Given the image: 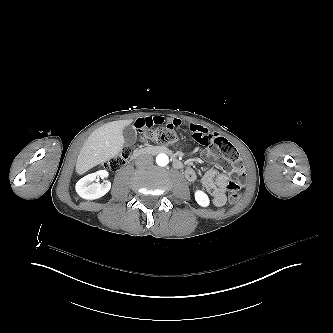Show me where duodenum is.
<instances>
[{"label":"duodenum","instance_id":"410a0bca","mask_svg":"<svg viewBox=\"0 0 333 333\" xmlns=\"http://www.w3.org/2000/svg\"><path fill=\"white\" fill-rule=\"evenodd\" d=\"M161 153L167 154L171 157L174 168L176 169L182 168L183 166L182 162L175 155H173V153L168 148L164 146H149V147L138 148L132 153L131 159L135 160L146 154H161Z\"/></svg>","mask_w":333,"mask_h":333}]
</instances>
